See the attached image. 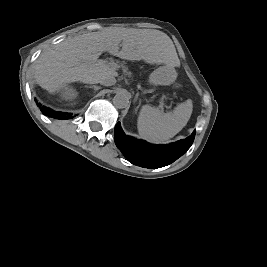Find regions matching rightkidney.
Masks as SVG:
<instances>
[{
	"instance_id": "right-kidney-1",
	"label": "right kidney",
	"mask_w": 267,
	"mask_h": 267,
	"mask_svg": "<svg viewBox=\"0 0 267 267\" xmlns=\"http://www.w3.org/2000/svg\"><path fill=\"white\" fill-rule=\"evenodd\" d=\"M60 96L64 100H73L78 96V92L73 87H64L60 92Z\"/></svg>"
}]
</instances>
